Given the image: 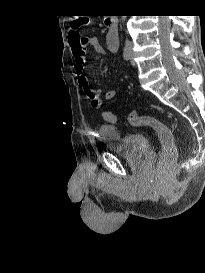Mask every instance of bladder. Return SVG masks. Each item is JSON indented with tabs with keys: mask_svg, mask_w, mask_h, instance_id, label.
<instances>
[{
	"mask_svg": "<svg viewBox=\"0 0 205 273\" xmlns=\"http://www.w3.org/2000/svg\"><path fill=\"white\" fill-rule=\"evenodd\" d=\"M98 132L107 149L131 161L143 159L149 150V138L142 132L123 133L117 126L109 124L100 126Z\"/></svg>",
	"mask_w": 205,
	"mask_h": 273,
	"instance_id": "1",
	"label": "bladder"
}]
</instances>
